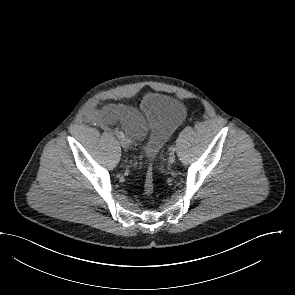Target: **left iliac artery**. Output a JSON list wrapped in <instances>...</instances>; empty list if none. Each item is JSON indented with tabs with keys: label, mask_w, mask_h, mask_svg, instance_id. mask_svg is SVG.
<instances>
[{
	"label": "left iliac artery",
	"mask_w": 295,
	"mask_h": 295,
	"mask_svg": "<svg viewBox=\"0 0 295 295\" xmlns=\"http://www.w3.org/2000/svg\"><path fill=\"white\" fill-rule=\"evenodd\" d=\"M175 150H176V148L174 145L169 147V151L174 152Z\"/></svg>",
	"instance_id": "obj_1"
}]
</instances>
